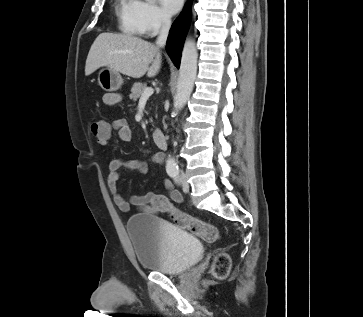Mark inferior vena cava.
<instances>
[{
  "label": "inferior vena cava",
  "mask_w": 363,
  "mask_h": 317,
  "mask_svg": "<svg viewBox=\"0 0 363 317\" xmlns=\"http://www.w3.org/2000/svg\"><path fill=\"white\" fill-rule=\"evenodd\" d=\"M171 26V19L169 17H162V28L160 34L156 40V45L158 47H164L166 45L169 29Z\"/></svg>",
  "instance_id": "602c4592"
}]
</instances>
